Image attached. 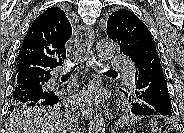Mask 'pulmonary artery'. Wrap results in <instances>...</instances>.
<instances>
[{
  "label": "pulmonary artery",
  "instance_id": "1",
  "mask_svg": "<svg viewBox=\"0 0 184 133\" xmlns=\"http://www.w3.org/2000/svg\"><path fill=\"white\" fill-rule=\"evenodd\" d=\"M110 68L113 70H125L131 80L135 77V71L132 68L131 62L124 56L112 57L110 59Z\"/></svg>",
  "mask_w": 184,
  "mask_h": 133
}]
</instances>
